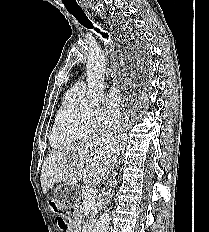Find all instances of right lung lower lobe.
<instances>
[{"label":"right lung lower lobe","mask_w":209,"mask_h":232,"mask_svg":"<svg viewBox=\"0 0 209 232\" xmlns=\"http://www.w3.org/2000/svg\"><path fill=\"white\" fill-rule=\"evenodd\" d=\"M145 59L143 57V55H141V58L139 59V61H137V63H135L133 70L135 71V74L139 77L144 75L145 73Z\"/></svg>","instance_id":"obj_1"}]
</instances>
